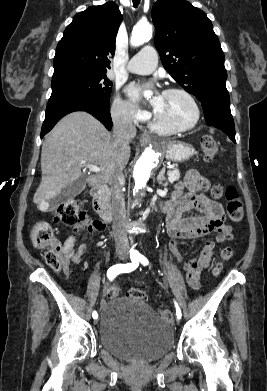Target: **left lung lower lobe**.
Instances as JSON below:
<instances>
[{
  "label": "left lung lower lobe",
  "mask_w": 267,
  "mask_h": 391,
  "mask_svg": "<svg viewBox=\"0 0 267 391\" xmlns=\"http://www.w3.org/2000/svg\"><path fill=\"white\" fill-rule=\"evenodd\" d=\"M208 126L222 130L235 142V126L229 97H212L201 101Z\"/></svg>",
  "instance_id": "obj_1"
}]
</instances>
